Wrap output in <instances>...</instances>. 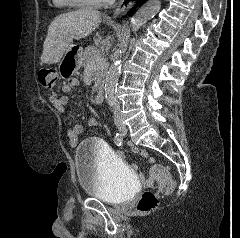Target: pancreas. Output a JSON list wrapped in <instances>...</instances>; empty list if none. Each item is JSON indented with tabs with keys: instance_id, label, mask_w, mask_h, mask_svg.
Listing matches in <instances>:
<instances>
[{
	"instance_id": "1",
	"label": "pancreas",
	"mask_w": 240,
	"mask_h": 238,
	"mask_svg": "<svg viewBox=\"0 0 240 238\" xmlns=\"http://www.w3.org/2000/svg\"><path fill=\"white\" fill-rule=\"evenodd\" d=\"M97 57L100 58V62L96 61ZM83 60L85 69L89 67L93 69V91H98L107 72V61L104 58V55L101 54L100 50L95 46H88L84 50Z\"/></svg>"
}]
</instances>
